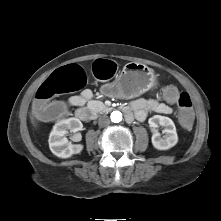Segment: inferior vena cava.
I'll return each mask as SVG.
<instances>
[{
  "mask_svg": "<svg viewBox=\"0 0 221 221\" xmlns=\"http://www.w3.org/2000/svg\"><path fill=\"white\" fill-rule=\"evenodd\" d=\"M98 124L101 127H106V126H108L110 124V119L108 118V116H101L98 119Z\"/></svg>",
  "mask_w": 221,
  "mask_h": 221,
  "instance_id": "obj_1",
  "label": "inferior vena cava"
}]
</instances>
